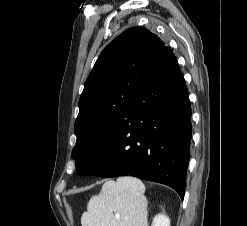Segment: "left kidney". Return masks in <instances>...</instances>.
Masks as SVG:
<instances>
[{"label": "left kidney", "instance_id": "1", "mask_svg": "<svg viewBox=\"0 0 247 226\" xmlns=\"http://www.w3.org/2000/svg\"><path fill=\"white\" fill-rule=\"evenodd\" d=\"M151 226H170V219L165 214H158L154 217Z\"/></svg>", "mask_w": 247, "mask_h": 226}]
</instances>
